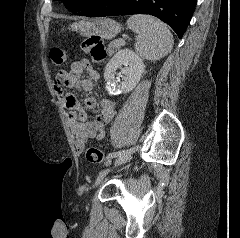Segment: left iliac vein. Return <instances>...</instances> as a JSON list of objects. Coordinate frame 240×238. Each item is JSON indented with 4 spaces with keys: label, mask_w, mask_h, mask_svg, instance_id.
Returning a JSON list of instances; mask_svg holds the SVG:
<instances>
[{
    "label": "left iliac vein",
    "mask_w": 240,
    "mask_h": 238,
    "mask_svg": "<svg viewBox=\"0 0 240 238\" xmlns=\"http://www.w3.org/2000/svg\"><path fill=\"white\" fill-rule=\"evenodd\" d=\"M137 148L138 147H134L132 149V151L128 155L123 154L121 157L117 158L116 161H115L114 166L116 167V166H119L121 164H124V163L130 161L131 158H132L133 153L136 151ZM108 172H109V169H106V170H103V171L100 172V174H99V176H98V178L96 180V185L98 183H100V181L106 176V174Z\"/></svg>",
    "instance_id": "left-iliac-vein-1"
}]
</instances>
